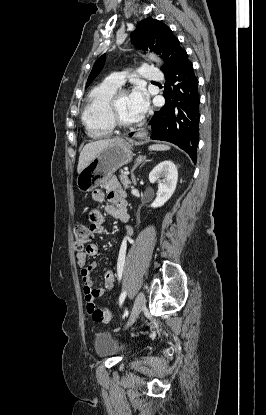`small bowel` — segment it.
<instances>
[{"label": "small bowel", "instance_id": "small-bowel-1", "mask_svg": "<svg viewBox=\"0 0 266 415\" xmlns=\"http://www.w3.org/2000/svg\"><path fill=\"white\" fill-rule=\"evenodd\" d=\"M107 197L108 204L105 211L113 218L119 219L126 223V233L128 236L133 234V228L128 224L129 215L127 212L126 194L115 177L107 178L102 185V189H97L92 193V199L96 202H102ZM90 228L93 233L101 234L104 231V216L98 209H93L89 213ZM98 253L96 244H89L85 248L76 252V264L80 268L81 279L83 281V290L87 309L91 312L95 308V301L101 297L106 290L112 289L116 280L114 271H107L104 275V288H94L91 277L92 272L96 269L97 264L91 262L87 264L89 257H94Z\"/></svg>", "mask_w": 266, "mask_h": 415}]
</instances>
